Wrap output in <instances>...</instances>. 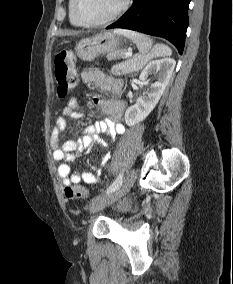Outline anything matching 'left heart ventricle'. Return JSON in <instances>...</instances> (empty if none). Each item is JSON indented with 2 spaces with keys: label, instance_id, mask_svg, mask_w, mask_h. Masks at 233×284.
Masks as SVG:
<instances>
[{
  "label": "left heart ventricle",
  "instance_id": "1",
  "mask_svg": "<svg viewBox=\"0 0 233 284\" xmlns=\"http://www.w3.org/2000/svg\"><path fill=\"white\" fill-rule=\"evenodd\" d=\"M122 0H80L81 15L90 21L107 18L121 5Z\"/></svg>",
  "mask_w": 233,
  "mask_h": 284
}]
</instances>
